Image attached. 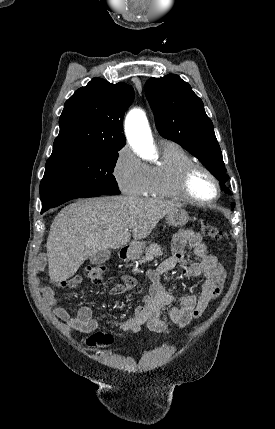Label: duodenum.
<instances>
[{"label": "duodenum", "mask_w": 275, "mask_h": 429, "mask_svg": "<svg viewBox=\"0 0 275 429\" xmlns=\"http://www.w3.org/2000/svg\"><path fill=\"white\" fill-rule=\"evenodd\" d=\"M133 250H134V246L133 245H131V244L126 245V246H124V247L121 248L120 255H121V257L123 259H127V258H129L131 256Z\"/></svg>", "instance_id": "obj_1"}]
</instances>
